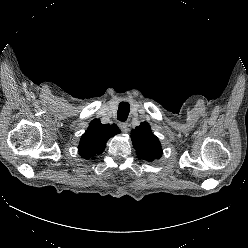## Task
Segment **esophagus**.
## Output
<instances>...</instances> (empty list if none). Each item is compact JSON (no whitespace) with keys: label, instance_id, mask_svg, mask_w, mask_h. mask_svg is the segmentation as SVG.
<instances>
[{"label":"esophagus","instance_id":"obj_1","mask_svg":"<svg viewBox=\"0 0 248 248\" xmlns=\"http://www.w3.org/2000/svg\"><path fill=\"white\" fill-rule=\"evenodd\" d=\"M119 127L122 132L127 133L129 131V123L127 122H122L119 124Z\"/></svg>","mask_w":248,"mask_h":248}]
</instances>
